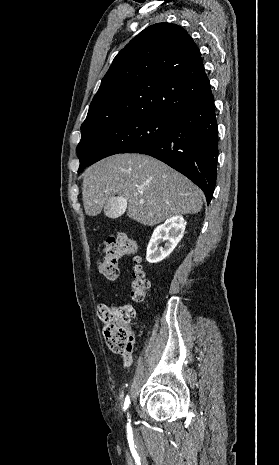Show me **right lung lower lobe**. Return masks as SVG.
Masks as SVG:
<instances>
[{"mask_svg":"<svg viewBox=\"0 0 279 465\" xmlns=\"http://www.w3.org/2000/svg\"><path fill=\"white\" fill-rule=\"evenodd\" d=\"M136 153L147 154L184 174L205 193L209 204L217 177L218 129L214 98L209 96L172 117L170 129Z\"/></svg>","mask_w":279,"mask_h":465,"instance_id":"right-lung-lower-lobe-1","label":"right lung lower lobe"}]
</instances>
